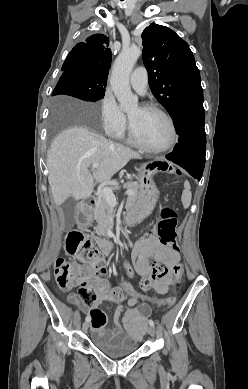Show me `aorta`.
I'll return each mask as SVG.
<instances>
[{"mask_svg": "<svg viewBox=\"0 0 248 389\" xmlns=\"http://www.w3.org/2000/svg\"><path fill=\"white\" fill-rule=\"evenodd\" d=\"M140 55L141 49L137 46L123 48L114 62L110 85L124 111L134 109L138 105V98L130 88L129 77Z\"/></svg>", "mask_w": 248, "mask_h": 389, "instance_id": "762f6f07", "label": "aorta"}]
</instances>
